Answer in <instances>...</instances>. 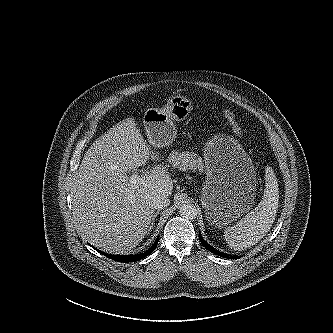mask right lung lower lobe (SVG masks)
Listing matches in <instances>:
<instances>
[{"mask_svg": "<svg viewBox=\"0 0 333 333\" xmlns=\"http://www.w3.org/2000/svg\"><path fill=\"white\" fill-rule=\"evenodd\" d=\"M159 242V237H157V239L155 240L154 244L152 245L151 248H149L147 251L140 253V254H135V255H111V254H106L96 248H94L96 251H98L99 253L105 255L106 257H108L109 259H112L114 261H118V262H123V263H129V262H135L138 261L148 255H150L156 248L157 244Z\"/></svg>", "mask_w": 333, "mask_h": 333, "instance_id": "right-lung-lower-lobe-1", "label": "right lung lower lobe"}]
</instances>
